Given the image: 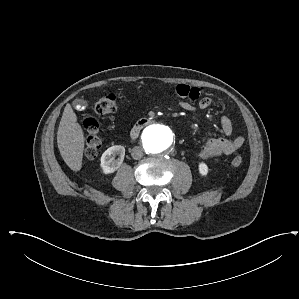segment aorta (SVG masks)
Instances as JSON below:
<instances>
[{
    "label": "aorta",
    "mask_w": 299,
    "mask_h": 299,
    "mask_svg": "<svg viewBox=\"0 0 299 299\" xmlns=\"http://www.w3.org/2000/svg\"><path fill=\"white\" fill-rule=\"evenodd\" d=\"M173 144L171 129L163 124H152L142 133V145L146 154L157 156L166 152Z\"/></svg>",
    "instance_id": "1"
}]
</instances>
